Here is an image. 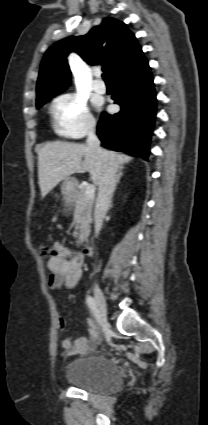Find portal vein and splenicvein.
<instances>
[{
	"instance_id": "18ae733b",
	"label": "portal vein and splenic vein",
	"mask_w": 208,
	"mask_h": 425,
	"mask_svg": "<svg viewBox=\"0 0 208 425\" xmlns=\"http://www.w3.org/2000/svg\"><path fill=\"white\" fill-rule=\"evenodd\" d=\"M95 186L94 185H88L87 187H86V195L88 196V197H90V198H93L94 197V194H95Z\"/></svg>"
}]
</instances>
